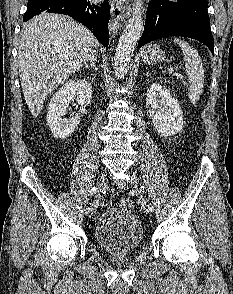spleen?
Instances as JSON below:
<instances>
[{
  "mask_svg": "<svg viewBox=\"0 0 233 294\" xmlns=\"http://www.w3.org/2000/svg\"><path fill=\"white\" fill-rule=\"evenodd\" d=\"M184 55L185 72L188 77V97L193 105L199 100L204 84V68L198 51L183 39L175 38Z\"/></svg>",
  "mask_w": 233,
  "mask_h": 294,
  "instance_id": "1",
  "label": "spleen"
}]
</instances>
